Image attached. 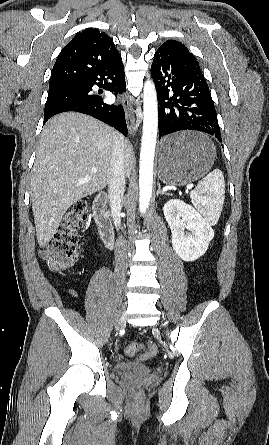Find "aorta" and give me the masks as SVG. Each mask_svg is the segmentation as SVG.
I'll return each instance as SVG.
<instances>
[{"label": "aorta", "mask_w": 269, "mask_h": 445, "mask_svg": "<svg viewBox=\"0 0 269 445\" xmlns=\"http://www.w3.org/2000/svg\"><path fill=\"white\" fill-rule=\"evenodd\" d=\"M143 134L139 165V210L149 206L153 188V164L158 131V102L154 83L147 80L143 89Z\"/></svg>", "instance_id": "1"}]
</instances>
